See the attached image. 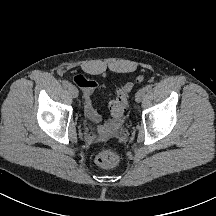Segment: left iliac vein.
<instances>
[{"mask_svg":"<svg viewBox=\"0 0 216 216\" xmlns=\"http://www.w3.org/2000/svg\"><path fill=\"white\" fill-rule=\"evenodd\" d=\"M145 94H146L145 88L138 90L136 95H135L136 102H141L143 100Z\"/></svg>","mask_w":216,"mask_h":216,"instance_id":"1","label":"left iliac vein"}]
</instances>
